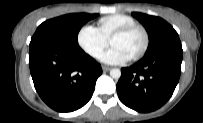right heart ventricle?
Instances as JSON below:
<instances>
[{
    "instance_id": "e07e8e85",
    "label": "right heart ventricle",
    "mask_w": 203,
    "mask_h": 123,
    "mask_svg": "<svg viewBox=\"0 0 203 123\" xmlns=\"http://www.w3.org/2000/svg\"><path fill=\"white\" fill-rule=\"evenodd\" d=\"M137 24L136 21L125 14H113L99 20V30L109 40L111 35L120 28Z\"/></svg>"
}]
</instances>
